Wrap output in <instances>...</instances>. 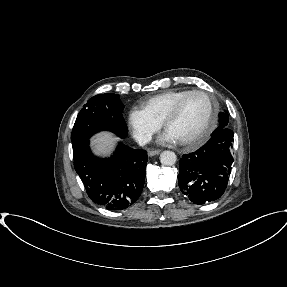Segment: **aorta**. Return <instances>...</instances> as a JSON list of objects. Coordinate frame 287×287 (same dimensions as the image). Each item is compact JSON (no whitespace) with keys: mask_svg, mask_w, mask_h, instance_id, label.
Masks as SVG:
<instances>
[{"mask_svg":"<svg viewBox=\"0 0 287 287\" xmlns=\"http://www.w3.org/2000/svg\"><path fill=\"white\" fill-rule=\"evenodd\" d=\"M177 156L173 151H163L160 154V162L164 166H172L176 163Z\"/></svg>","mask_w":287,"mask_h":287,"instance_id":"obj_1","label":"aorta"}]
</instances>
